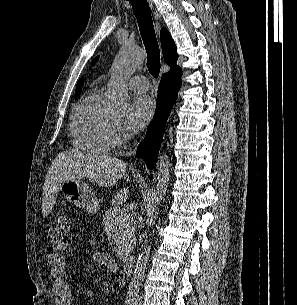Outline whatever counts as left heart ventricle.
Masks as SVG:
<instances>
[{
  "label": "left heart ventricle",
  "mask_w": 297,
  "mask_h": 305,
  "mask_svg": "<svg viewBox=\"0 0 297 305\" xmlns=\"http://www.w3.org/2000/svg\"><path fill=\"white\" fill-rule=\"evenodd\" d=\"M114 121H115L116 123H118V124L121 123V119H118V118H115Z\"/></svg>",
  "instance_id": "b2bd125f"
}]
</instances>
